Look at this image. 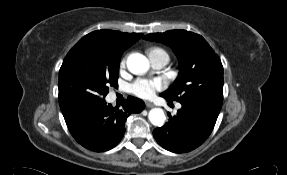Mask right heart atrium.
<instances>
[{
  "mask_svg": "<svg viewBox=\"0 0 287 175\" xmlns=\"http://www.w3.org/2000/svg\"><path fill=\"white\" fill-rule=\"evenodd\" d=\"M125 63H126V59L123 58V59L121 60V62H120L121 68L125 66Z\"/></svg>",
  "mask_w": 287,
  "mask_h": 175,
  "instance_id": "1",
  "label": "right heart atrium"
}]
</instances>
